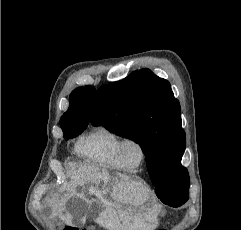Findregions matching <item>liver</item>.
Segmentation results:
<instances>
[{"label": "liver", "instance_id": "1", "mask_svg": "<svg viewBox=\"0 0 241 230\" xmlns=\"http://www.w3.org/2000/svg\"><path fill=\"white\" fill-rule=\"evenodd\" d=\"M70 178L71 181L62 186L64 192L62 199L55 196L46 198L54 215L65 224L72 225L73 219L69 212L64 213L66 202L77 196L89 211L93 201L102 204V211L95 222L107 230H154L157 227V211L146 206L150 198L148 190L130 177L121 174L112 177L107 169L79 165L71 171ZM114 180L117 182L109 185V182ZM87 183H91L88 192L94 194L95 199L89 200L86 191H77L78 186H84ZM105 191H110L109 196L115 203L108 202L104 198Z\"/></svg>", "mask_w": 241, "mask_h": 230}]
</instances>
